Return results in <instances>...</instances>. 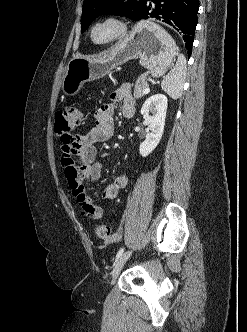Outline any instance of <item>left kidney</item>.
<instances>
[{"label":"left kidney","instance_id":"left-kidney-1","mask_svg":"<svg viewBox=\"0 0 247 332\" xmlns=\"http://www.w3.org/2000/svg\"><path fill=\"white\" fill-rule=\"evenodd\" d=\"M167 105V97L163 94H156L149 97L141 108L143 118L150 125V132L147 133L146 139L139 147L142 157L148 156L157 147L162 138Z\"/></svg>","mask_w":247,"mask_h":332}]
</instances>
